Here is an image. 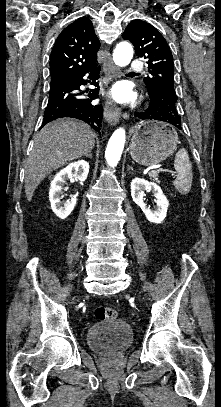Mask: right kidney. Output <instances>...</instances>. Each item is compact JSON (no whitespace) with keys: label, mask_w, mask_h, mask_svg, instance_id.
Instances as JSON below:
<instances>
[{"label":"right kidney","mask_w":221,"mask_h":407,"mask_svg":"<svg viewBox=\"0 0 221 407\" xmlns=\"http://www.w3.org/2000/svg\"><path fill=\"white\" fill-rule=\"evenodd\" d=\"M88 173L89 163L84 160H79L70 163L54 176L50 184L49 200L53 212L60 219H66L73 211L77 202L75 196H71L67 202H61L62 189L66 180L75 179L83 182L86 180Z\"/></svg>","instance_id":"right-kidney-1"}]
</instances>
